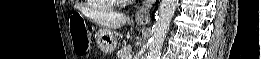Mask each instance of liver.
I'll list each match as a JSON object with an SVG mask.
<instances>
[{
    "label": "liver",
    "instance_id": "liver-1",
    "mask_svg": "<svg viewBox=\"0 0 261 59\" xmlns=\"http://www.w3.org/2000/svg\"><path fill=\"white\" fill-rule=\"evenodd\" d=\"M93 19L97 24L108 29L120 28L128 21L126 15L115 12H99L94 14Z\"/></svg>",
    "mask_w": 261,
    "mask_h": 59
}]
</instances>
